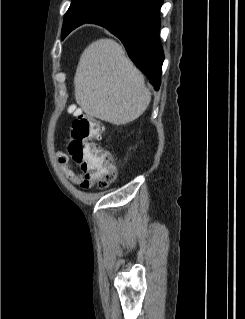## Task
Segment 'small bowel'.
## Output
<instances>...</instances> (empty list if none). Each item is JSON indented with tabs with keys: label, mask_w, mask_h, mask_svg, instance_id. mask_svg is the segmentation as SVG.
I'll list each match as a JSON object with an SVG mask.
<instances>
[{
	"label": "small bowel",
	"mask_w": 245,
	"mask_h": 319,
	"mask_svg": "<svg viewBox=\"0 0 245 319\" xmlns=\"http://www.w3.org/2000/svg\"><path fill=\"white\" fill-rule=\"evenodd\" d=\"M57 162L61 171L73 183L79 184L82 182V176L71 167V165L68 162V157L61 151L57 152Z\"/></svg>",
	"instance_id": "small-bowel-1"
}]
</instances>
